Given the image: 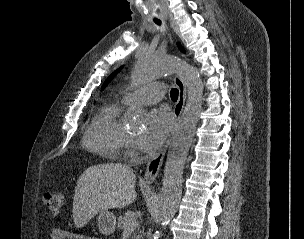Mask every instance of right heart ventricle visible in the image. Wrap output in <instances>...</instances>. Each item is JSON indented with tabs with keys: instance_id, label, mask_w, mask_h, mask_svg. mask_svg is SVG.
<instances>
[{
	"instance_id": "right-heart-ventricle-1",
	"label": "right heart ventricle",
	"mask_w": 304,
	"mask_h": 239,
	"mask_svg": "<svg viewBox=\"0 0 304 239\" xmlns=\"http://www.w3.org/2000/svg\"><path fill=\"white\" fill-rule=\"evenodd\" d=\"M124 103H110L103 107L89 123L84 146L109 160H119L128 142L119 115Z\"/></svg>"
}]
</instances>
